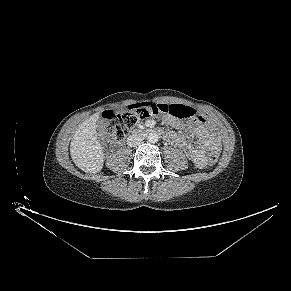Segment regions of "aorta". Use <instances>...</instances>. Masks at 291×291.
Instances as JSON below:
<instances>
[{
	"instance_id": "obj_1",
	"label": "aorta",
	"mask_w": 291,
	"mask_h": 291,
	"mask_svg": "<svg viewBox=\"0 0 291 291\" xmlns=\"http://www.w3.org/2000/svg\"><path fill=\"white\" fill-rule=\"evenodd\" d=\"M148 141L151 143H155L158 141V135H156L155 133H151L148 136Z\"/></svg>"
}]
</instances>
